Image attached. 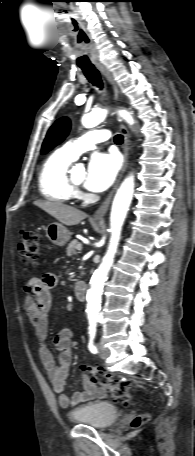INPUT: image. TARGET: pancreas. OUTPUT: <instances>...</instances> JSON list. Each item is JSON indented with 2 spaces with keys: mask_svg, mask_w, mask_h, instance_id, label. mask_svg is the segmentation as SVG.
I'll list each match as a JSON object with an SVG mask.
<instances>
[{
  "mask_svg": "<svg viewBox=\"0 0 195 456\" xmlns=\"http://www.w3.org/2000/svg\"><path fill=\"white\" fill-rule=\"evenodd\" d=\"M79 244V242L77 240H72L69 244H68V247H67V250H66V253H67V256H72L74 254H76V247L77 245Z\"/></svg>",
  "mask_w": 195,
  "mask_h": 456,
  "instance_id": "cf45deb5",
  "label": "pancreas"
}]
</instances>
